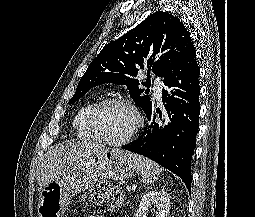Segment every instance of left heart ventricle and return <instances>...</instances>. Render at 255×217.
Here are the masks:
<instances>
[{
  "label": "left heart ventricle",
  "mask_w": 255,
  "mask_h": 217,
  "mask_svg": "<svg viewBox=\"0 0 255 217\" xmlns=\"http://www.w3.org/2000/svg\"><path fill=\"white\" fill-rule=\"evenodd\" d=\"M100 132L109 139L119 140L127 136L135 125L134 113L127 107L111 105L96 116Z\"/></svg>",
  "instance_id": "left-heart-ventricle-1"
}]
</instances>
